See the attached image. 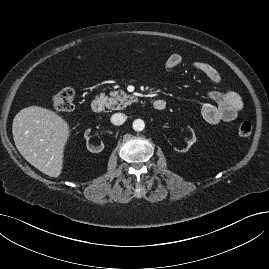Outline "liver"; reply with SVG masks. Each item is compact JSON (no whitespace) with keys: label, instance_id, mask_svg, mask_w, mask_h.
I'll list each match as a JSON object with an SVG mask.
<instances>
[{"label":"liver","instance_id":"obj_1","mask_svg":"<svg viewBox=\"0 0 269 269\" xmlns=\"http://www.w3.org/2000/svg\"><path fill=\"white\" fill-rule=\"evenodd\" d=\"M12 133L25 160L50 177L60 176L70 136V127L64 118L50 109L30 106L16 114Z\"/></svg>","mask_w":269,"mask_h":269}]
</instances>
